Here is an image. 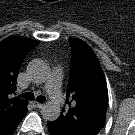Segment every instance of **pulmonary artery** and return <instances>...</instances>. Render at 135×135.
Segmentation results:
<instances>
[{"label":"pulmonary artery","instance_id":"e3ab8cb5","mask_svg":"<svg viewBox=\"0 0 135 135\" xmlns=\"http://www.w3.org/2000/svg\"><path fill=\"white\" fill-rule=\"evenodd\" d=\"M62 80V68L57 66L53 69L51 76L46 83V90L55 106H62L64 103L60 92V85Z\"/></svg>","mask_w":135,"mask_h":135}]
</instances>
